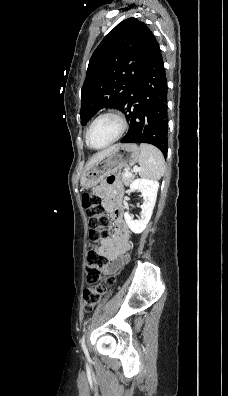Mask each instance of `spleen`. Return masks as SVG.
Masks as SVG:
<instances>
[{
    "label": "spleen",
    "mask_w": 228,
    "mask_h": 396,
    "mask_svg": "<svg viewBox=\"0 0 228 396\" xmlns=\"http://www.w3.org/2000/svg\"><path fill=\"white\" fill-rule=\"evenodd\" d=\"M139 176L159 180L165 172V161L161 151L151 144H140Z\"/></svg>",
    "instance_id": "1"
}]
</instances>
